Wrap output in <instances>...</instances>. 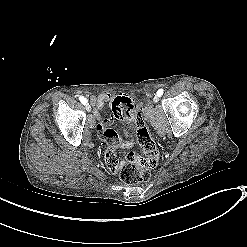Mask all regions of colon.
Returning <instances> with one entry per match:
<instances>
[{
  "mask_svg": "<svg viewBox=\"0 0 247 247\" xmlns=\"http://www.w3.org/2000/svg\"><path fill=\"white\" fill-rule=\"evenodd\" d=\"M140 148L121 161L117 174L127 185H139L151 178V171L160 160V150L145 126L143 116L136 123Z\"/></svg>",
  "mask_w": 247,
  "mask_h": 247,
  "instance_id": "1",
  "label": "colon"
}]
</instances>
